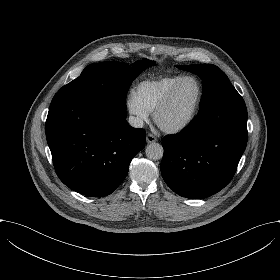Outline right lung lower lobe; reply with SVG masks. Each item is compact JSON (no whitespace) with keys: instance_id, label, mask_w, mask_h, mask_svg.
<instances>
[{"instance_id":"obj_1","label":"right lung lower lobe","mask_w":280,"mask_h":280,"mask_svg":"<svg viewBox=\"0 0 280 280\" xmlns=\"http://www.w3.org/2000/svg\"><path fill=\"white\" fill-rule=\"evenodd\" d=\"M46 138L55 171L70 189L104 197L125 179L146 132L126 113L75 95H55L46 120Z\"/></svg>"}]
</instances>
